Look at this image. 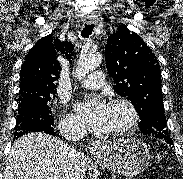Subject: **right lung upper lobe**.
Listing matches in <instances>:
<instances>
[{
  "mask_svg": "<svg viewBox=\"0 0 183 179\" xmlns=\"http://www.w3.org/2000/svg\"><path fill=\"white\" fill-rule=\"evenodd\" d=\"M72 50V43H62L58 39H53L52 35L40 39L30 49L22 64L18 99L54 95L57 86L55 81L58 80L61 71L56 52L60 51L70 60Z\"/></svg>",
  "mask_w": 183,
  "mask_h": 179,
  "instance_id": "1",
  "label": "right lung upper lobe"
}]
</instances>
